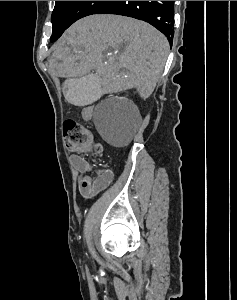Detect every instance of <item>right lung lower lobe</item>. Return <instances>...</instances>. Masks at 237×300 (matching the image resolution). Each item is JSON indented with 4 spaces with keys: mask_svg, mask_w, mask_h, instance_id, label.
<instances>
[{
    "mask_svg": "<svg viewBox=\"0 0 237 300\" xmlns=\"http://www.w3.org/2000/svg\"><path fill=\"white\" fill-rule=\"evenodd\" d=\"M94 14H118L146 21L161 31L172 46L174 1H106Z\"/></svg>",
    "mask_w": 237,
    "mask_h": 300,
    "instance_id": "obj_1",
    "label": "right lung lower lobe"
}]
</instances>
